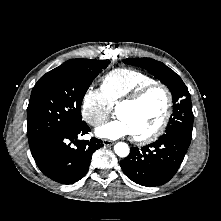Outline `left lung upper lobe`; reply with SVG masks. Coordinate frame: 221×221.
Listing matches in <instances>:
<instances>
[{
	"mask_svg": "<svg viewBox=\"0 0 221 221\" xmlns=\"http://www.w3.org/2000/svg\"><path fill=\"white\" fill-rule=\"evenodd\" d=\"M124 63L140 66L153 74L170 89L173 97V114L163 135H175L192 139L194 115L188 88L172 69L151 58H127Z\"/></svg>",
	"mask_w": 221,
	"mask_h": 221,
	"instance_id": "1",
	"label": "left lung upper lobe"
}]
</instances>
